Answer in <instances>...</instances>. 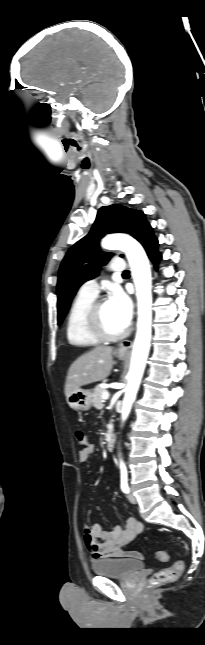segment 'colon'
I'll list each match as a JSON object with an SVG mask.
<instances>
[{
	"mask_svg": "<svg viewBox=\"0 0 205 645\" xmlns=\"http://www.w3.org/2000/svg\"><path fill=\"white\" fill-rule=\"evenodd\" d=\"M76 438L80 446L87 447L89 446V439L87 434L83 430H77L76 431ZM156 557L160 561H167L168 560V555L167 553L163 551H159L156 553ZM184 570V563L183 561H177L173 565H171L168 568H165L159 572H157L153 577H152V582L156 585H161L169 582H174L176 581L180 575L182 574Z\"/></svg>",
	"mask_w": 205,
	"mask_h": 645,
	"instance_id": "colon-1",
	"label": "colon"
}]
</instances>
